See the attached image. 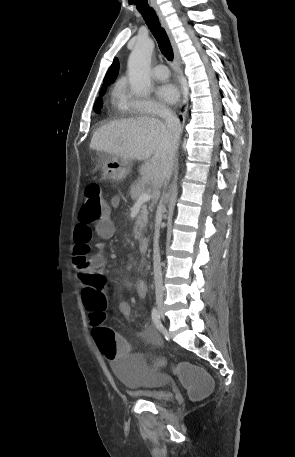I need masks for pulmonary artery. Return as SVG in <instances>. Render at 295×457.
Here are the masks:
<instances>
[{"instance_id":"1","label":"pulmonary artery","mask_w":295,"mask_h":457,"mask_svg":"<svg viewBox=\"0 0 295 457\" xmlns=\"http://www.w3.org/2000/svg\"><path fill=\"white\" fill-rule=\"evenodd\" d=\"M152 75L158 80H165L169 77V70L165 65L159 64L152 69Z\"/></svg>"}]
</instances>
